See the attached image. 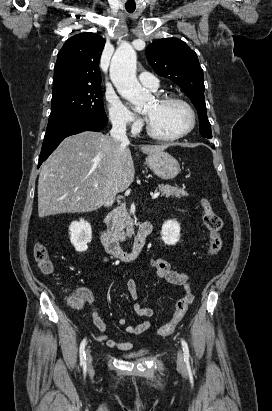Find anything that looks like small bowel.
Masks as SVG:
<instances>
[{
  "label": "small bowel",
  "instance_id": "obj_1",
  "mask_svg": "<svg viewBox=\"0 0 272 411\" xmlns=\"http://www.w3.org/2000/svg\"><path fill=\"white\" fill-rule=\"evenodd\" d=\"M146 265L154 271L156 276L170 284L183 287L186 296L191 298L193 301L194 296L191 292V283L189 274L185 272H180L176 270L167 260L164 258H155L148 260ZM127 287L129 294L135 304L133 305L134 313L139 317L150 318L154 315V309L150 307H145L141 305L137 300L139 299V294L136 288V283L133 278L127 279ZM88 302L91 305V316L92 321L95 327L98 329L99 334L94 335V339L97 341L105 342L106 345L110 348H116L121 351H129L133 348L134 343L132 341H117L112 339L107 334V325L102 317L99 315L96 307L93 305V299L91 296H88ZM117 323L120 326H124L127 323V320L123 317L119 318ZM152 327L150 321H144L135 325H127L126 332L132 335H141Z\"/></svg>",
  "mask_w": 272,
  "mask_h": 411
}]
</instances>
